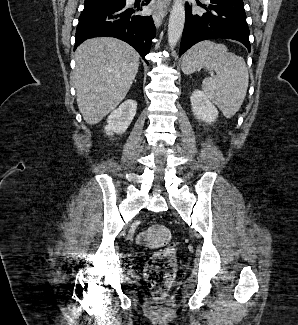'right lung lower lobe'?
Instances as JSON below:
<instances>
[{
	"mask_svg": "<svg viewBox=\"0 0 298 325\" xmlns=\"http://www.w3.org/2000/svg\"><path fill=\"white\" fill-rule=\"evenodd\" d=\"M145 0L142 5H147ZM121 3L84 7L76 30L75 48L88 38L110 36L121 39L134 47L145 60L156 28L151 16L135 15L136 10ZM139 7L137 11H140Z\"/></svg>",
	"mask_w": 298,
	"mask_h": 325,
	"instance_id": "obj_1",
	"label": "right lung lower lobe"
}]
</instances>
